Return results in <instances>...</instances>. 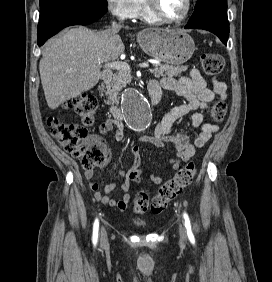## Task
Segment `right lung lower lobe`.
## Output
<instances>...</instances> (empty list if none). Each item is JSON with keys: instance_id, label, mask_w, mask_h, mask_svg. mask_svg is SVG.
Returning a JSON list of instances; mask_svg holds the SVG:
<instances>
[{"instance_id": "1", "label": "right lung lower lobe", "mask_w": 272, "mask_h": 282, "mask_svg": "<svg viewBox=\"0 0 272 282\" xmlns=\"http://www.w3.org/2000/svg\"><path fill=\"white\" fill-rule=\"evenodd\" d=\"M106 12L107 7L96 4L66 3L48 7L39 17L38 45L67 26L93 23Z\"/></svg>"}]
</instances>
